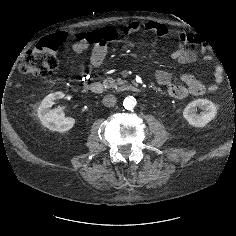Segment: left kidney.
<instances>
[{
	"label": "left kidney",
	"mask_w": 236,
	"mask_h": 236,
	"mask_svg": "<svg viewBox=\"0 0 236 236\" xmlns=\"http://www.w3.org/2000/svg\"><path fill=\"white\" fill-rule=\"evenodd\" d=\"M196 107H199L202 112L197 114ZM217 114V106L207 99H196L190 102L183 111L184 119L194 127H204Z\"/></svg>",
	"instance_id": "left-kidney-1"
}]
</instances>
